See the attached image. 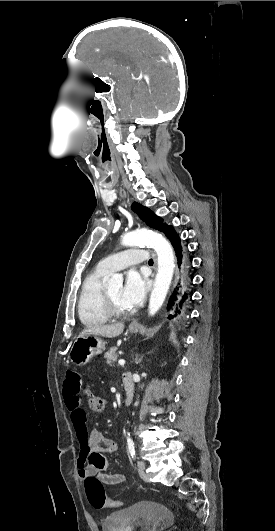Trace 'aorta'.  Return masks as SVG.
Returning <instances> with one entry per match:
<instances>
[{"label":"aorta","instance_id":"obj_1","mask_svg":"<svg viewBox=\"0 0 275 531\" xmlns=\"http://www.w3.org/2000/svg\"><path fill=\"white\" fill-rule=\"evenodd\" d=\"M139 243L150 245L151 249H155L158 257V273L148 307V313L150 317H153L161 309L171 285L175 269L174 253L170 243L164 237L151 233V231L125 233L121 241L123 247H138ZM105 281L108 289H118L123 285V275H112L111 279H105Z\"/></svg>","mask_w":275,"mask_h":531}]
</instances>
